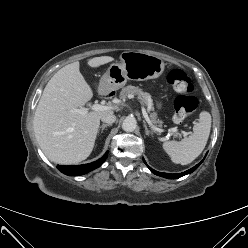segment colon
<instances>
[{"label": "colon", "mask_w": 248, "mask_h": 248, "mask_svg": "<svg viewBox=\"0 0 248 248\" xmlns=\"http://www.w3.org/2000/svg\"><path fill=\"white\" fill-rule=\"evenodd\" d=\"M168 83L178 94L175 100L174 121L183 122L194 118L198 109V100L193 96V84L181 69H172L167 76Z\"/></svg>", "instance_id": "1"}]
</instances>
